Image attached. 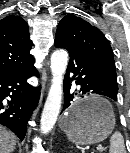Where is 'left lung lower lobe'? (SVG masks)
<instances>
[{"mask_svg":"<svg viewBox=\"0 0 130 153\" xmlns=\"http://www.w3.org/2000/svg\"><path fill=\"white\" fill-rule=\"evenodd\" d=\"M57 48H65L70 54V61L67 68V73L64 78V111L71 105L73 96L70 94L71 81L75 80L76 84L81 86L80 94L82 96L89 94H98L109 97L117 101L118 87L110 80L106 72L97 65L94 61L80 56L62 40L55 39Z\"/></svg>","mask_w":130,"mask_h":153,"instance_id":"obj_1","label":"left lung lower lobe"}]
</instances>
